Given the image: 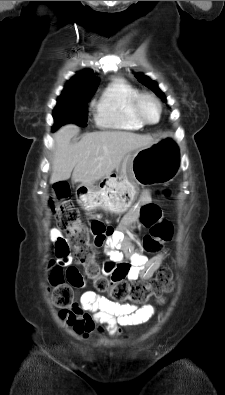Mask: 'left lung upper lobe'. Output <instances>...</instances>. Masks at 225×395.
<instances>
[{"mask_svg": "<svg viewBox=\"0 0 225 395\" xmlns=\"http://www.w3.org/2000/svg\"><path fill=\"white\" fill-rule=\"evenodd\" d=\"M135 77L145 86L152 89L163 101H166V98L162 91L158 88V85L152 81L149 77L143 74H136Z\"/></svg>", "mask_w": 225, "mask_h": 395, "instance_id": "obj_1", "label": "left lung upper lobe"}]
</instances>
